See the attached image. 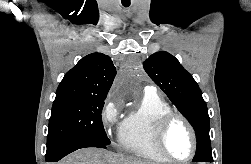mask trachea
Masks as SVG:
<instances>
[{
  "label": "trachea",
  "instance_id": "trachea-1",
  "mask_svg": "<svg viewBox=\"0 0 251 164\" xmlns=\"http://www.w3.org/2000/svg\"><path fill=\"white\" fill-rule=\"evenodd\" d=\"M130 4H123L124 7H128Z\"/></svg>",
  "mask_w": 251,
  "mask_h": 164
}]
</instances>
